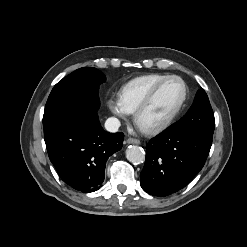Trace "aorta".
Instances as JSON below:
<instances>
[{
    "label": "aorta",
    "instance_id": "762f6f07",
    "mask_svg": "<svg viewBox=\"0 0 247 247\" xmlns=\"http://www.w3.org/2000/svg\"><path fill=\"white\" fill-rule=\"evenodd\" d=\"M126 158L133 164H141L145 161V152L139 146H129L126 150Z\"/></svg>",
    "mask_w": 247,
    "mask_h": 247
}]
</instances>
